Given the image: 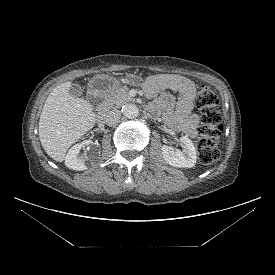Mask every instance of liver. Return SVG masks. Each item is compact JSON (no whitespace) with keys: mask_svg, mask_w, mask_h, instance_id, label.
<instances>
[{"mask_svg":"<svg viewBox=\"0 0 275 275\" xmlns=\"http://www.w3.org/2000/svg\"><path fill=\"white\" fill-rule=\"evenodd\" d=\"M71 82L56 86L47 97L39 119V138L45 152L62 162L68 148L96 123L92 105L70 94Z\"/></svg>","mask_w":275,"mask_h":275,"instance_id":"1","label":"liver"}]
</instances>
